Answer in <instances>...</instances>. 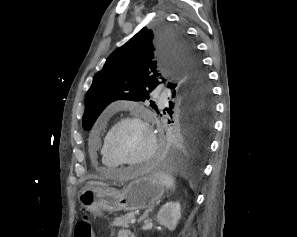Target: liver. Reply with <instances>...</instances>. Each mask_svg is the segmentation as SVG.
I'll return each instance as SVG.
<instances>
[{
    "instance_id": "obj_1",
    "label": "liver",
    "mask_w": 297,
    "mask_h": 237,
    "mask_svg": "<svg viewBox=\"0 0 297 237\" xmlns=\"http://www.w3.org/2000/svg\"><path fill=\"white\" fill-rule=\"evenodd\" d=\"M88 185H96V186H103V187L106 186V184H104L103 182H98V181H91L88 183Z\"/></svg>"
}]
</instances>
